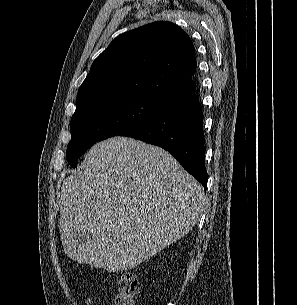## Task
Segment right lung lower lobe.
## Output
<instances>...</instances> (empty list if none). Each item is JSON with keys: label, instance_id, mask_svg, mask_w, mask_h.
<instances>
[{"label": "right lung lower lobe", "instance_id": "obj_1", "mask_svg": "<svg viewBox=\"0 0 297 305\" xmlns=\"http://www.w3.org/2000/svg\"><path fill=\"white\" fill-rule=\"evenodd\" d=\"M119 136L164 148L206 189L203 113L195 91Z\"/></svg>", "mask_w": 297, "mask_h": 305}]
</instances>
